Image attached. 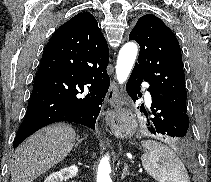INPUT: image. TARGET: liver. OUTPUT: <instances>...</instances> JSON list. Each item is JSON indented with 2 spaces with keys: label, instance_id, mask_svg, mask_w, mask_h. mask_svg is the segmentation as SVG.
<instances>
[{
  "label": "liver",
  "instance_id": "liver-1",
  "mask_svg": "<svg viewBox=\"0 0 211 182\" xmlns=\"http://www.w3.org/2000/svg\"><path fill=\"white\" fill-rule=\"evenodd\" d=\"M75 130L66 124L48 126L27 138L10 162L11 182H33L72 150Z\"/></svg>",
  "mask_w": 211,
  "mask_h": 182
}]
</instances>
